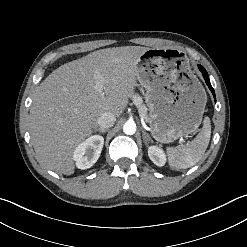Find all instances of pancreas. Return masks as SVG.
I'll return each instance as SVG.
<instances>
[{"label":"pancreas","instance_id":"obj_1","mask_svg":"<svg viewBox=\"0 0 247 247\" xmlns=\"http://www.w3.org/2000/svg\"><path fill=\"white\" fill-rule=\"evenodd\" d=\"M133 103L138 107L139 109V113L144 117V119L146 121L149 120L148 116H147V108L146 106L143 104V100L140 96L138 95H134L133 96Z\"/></svg>","mask_w":247,"mask_h":247}]
</instances>
